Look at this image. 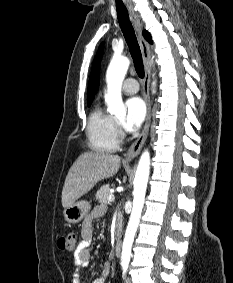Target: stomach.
I'll list each match as a JSON object with an SVG mask.
<instances>
[{
	"mask_svg": "<svg viewBox=\"0 0 233 283\" xmlns=\"http://www.w3.org/2000/svg\"><path fill=\"white\" fill-rule=\"evenodd\" d=\"M90 204L86 201L74 202L72 205L64 208L63 214L65 220L70 224L79 223L89 212Z\"/></svg>",
	"mask_w": 233,
	"mask_h": 283,
	"instance_id": "stomach-1",
	"label": "stomach"
}]
</instances>
